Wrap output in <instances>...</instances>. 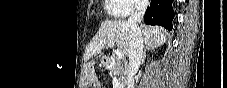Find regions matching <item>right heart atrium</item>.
<instances>
[{"label": "right heart atrium", "instance_id": "obj_1", "mask_svg": "<svg viewBox=\"0 0 227 88\" xmlns=\"http://www.w3.org/2000/svg\"><path fill=\"white\" fill-rule=\"evenodd\" d=\"M124 1L127 5L126 16L135 14L145 5V0H124Z\"/></svg>", "mask_w": 227, "mask_h": 88}]
</instances>
